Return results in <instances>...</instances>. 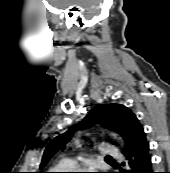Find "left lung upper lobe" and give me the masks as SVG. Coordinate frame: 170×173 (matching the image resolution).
Wrapping results in <instances>:
<instances>
[{"instance_id":"left-lung-upper-lobe-1","label":"left lung upper lobe","mask_w":170,"mask_h":173,"mask_svg":"<svg viewBox=\"0 0 170 173\" xmlns=\"http://www.w3.org/2000/svg\"><path fill=\"white\" fill-rule=\"evenodd\" d=\"M97 122L123 137L125 141L123 152L146 141L143 127L130 109L120 104H98L80 124L72 126L67 132L57 136L48 144L40 168L44 167L49 159L70 141L76 130L89 128Z\"/></svg>"}]
</instances>
